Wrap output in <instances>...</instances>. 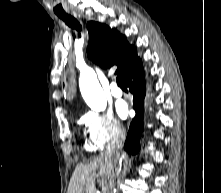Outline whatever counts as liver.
<instances>
[{"mask_svg": "<svg viewBox=\"0 0 221 193\" xmlns=\"http://www.w3.org/2000/svg\"><path fill=\"white\" fill-rule=\"evenodd\" d=\"M110 177L115 172L114 155L108 151L102 152L88 164L76 166L68 193H95V175Z\"/></svg>", "mask_w": 221, "mask_h": 193, "instance_id": "liver-1", "label": "liver"}]
</instances>
